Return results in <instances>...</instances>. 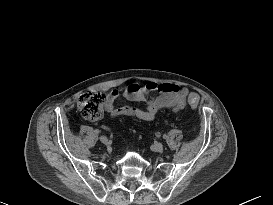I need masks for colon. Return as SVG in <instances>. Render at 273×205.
Here are the masks:
<instances>
[{"label": "colon", "mask_w": 273, "mask_h": 205, "mask_svg": "<svg viewBox=\"0 0 273 205\" xmlns=\"http://www.w3.org/2000/svg\"><path fill=\"white\" fill-rule=\"evenodd\" d=\"M192 108L198 106L197 96L191 95L188 99ZM105 96L99 92H81L76 96V104L81 115L87 120H97L102 116Z\"/></svg>", "instance_id": "5ec220e1"}]
</instances>
